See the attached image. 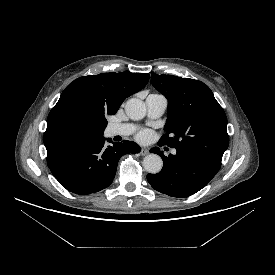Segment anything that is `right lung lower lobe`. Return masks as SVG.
Returning <instances> with one entry per match:
<instances>
[{"mask_svg": "<svg viewBox=\"0 0 275 275\" xmlns=\"http://www.w3.org/2000/svg\"><path fill=\"white\" fill-rule=\"evenodd\" d=\"M104 140L102 135L47 149L48 167L64 188L79 195L101 191L113 182L121 156L141 150L133 141L106 147Z\"/></svg>", "mask_w": 275, "mask_h": 275, "instance_id": "98d812e1", "label": "right lung lower lobe"}]
</instances>
